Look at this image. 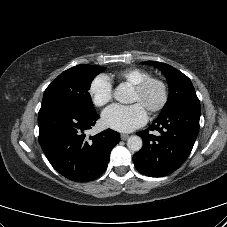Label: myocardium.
<instances>
[{"mask_svg":"<svg viewBox=\"0 0 227 227\" xmlns=\"http://www.w3.org/2000/svg\"><path fill=\"white\" fill-rule=\"evenodd\" d=\"M152 86H157L160 90L159 101L150 106L147 110L150 113H158L164 109L169 100V88L167 83L158 77H149L134 86V90L139 94H145Z\"/></svg>","mask_w":227,"mask_h":227,"instance_id":"f54148a6","label":"myocardium"}]
</instances>
